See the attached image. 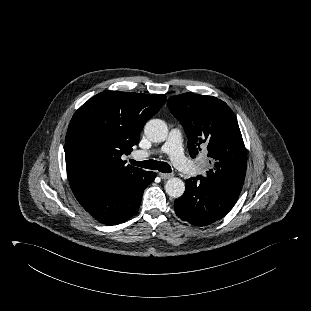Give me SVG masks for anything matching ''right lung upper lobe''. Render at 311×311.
<instances>
[{"instance_id":"right-lung-upper-lobe-1","label":"right lung upper lobe","mask_w":311,"mask_h":311,"mask_svg":"<svg viewBox=\"0 0 311 311\" xmlns=\"http://www.w3.org/2000/svg\"><path fill=\"white\" fill-rule=\"evenodd\" d=\"M166 102L165 95L106 91L85 102L73 115L65 140L69 183L106 178L128 181L143 169L125 165L145 123Z\"/></svg>"}]
</instances>
